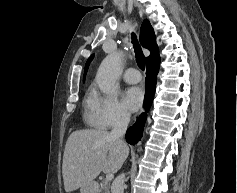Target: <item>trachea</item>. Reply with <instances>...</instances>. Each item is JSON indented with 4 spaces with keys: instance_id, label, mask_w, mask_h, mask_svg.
Returning a JSON list of instances; mask_svg holds the SVG:
<instances>
[{
    "instance_id": "trachea-1",
    "label": "trachea",
    "mask_w": 237,
    "mask_h": 193,
    "mask_svg": "<svg viewBox=\"0 0 237 193\" xmlns=\"http://www.w3.org/2000/svg\"><path fill=\"white\" fill-rule=\"evenodd\" d=\"M132 43H133V47L135 51L137 65L139 66L141 70H144L145 69V56L143 55L141 47L138 44L136 35L134 33H132Z\"/></svg>"
}]
</instances>
